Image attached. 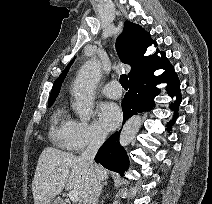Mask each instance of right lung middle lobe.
<instances>
[{
    "label": "right lung middle lobe",
    "mask_w": 212,
    "mask_h": 204,
    "mask_svg": "<svg viewBox=\"0 0 212 204\" xmlns=\"http://www.w3.org/2000/svg\"><path fill=\"white\" fill-rule=\"evenodd\" d=\"M53 104V102H48V107H50Z\"/></svg>",
    "instance_id": "obj_1"
}]
</instances>
